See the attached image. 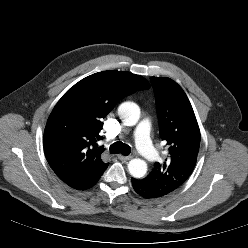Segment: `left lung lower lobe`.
Listing matches in <instances>:
<instances>
[{
  "instance_id": "0a47b994",
  "label": "left lung lower lobe",
  "mask_w": 248,
  "mask_h": 248,
  "mask_svg": "<svg viewBox=\"0 0 248 248\" xmlns=\"http://www.w3.org/2000/svg\"><path fill=\"white\" fill-rule=\"evenodd\" d=\"M132 185L134 190L144 198L153 199L162 197V195L155 188L142 180L132 178Z\"/></svg>"
}]
</instances>
